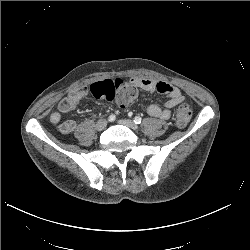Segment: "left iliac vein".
Returning <instances> with one entry per match:
<instances>
[{
  "instance_id": "left-iliac-vein-1",
  "label": "left iliac vein",
  "mask_w": 250,
  "mask_h": 250,
  "mask_svg": "<svg viewBox=\"0 0 250 250\" xmlns=\"http://www.w3.org/2000/svg\"><path fill=\"white\" fill-rule=\"evenodd\" d=\"M120 124L129 127L130 129L137 131L139 129L138 125H136L132 120L121 119L118 121Z\"/></svg>"
}]
</instances>
